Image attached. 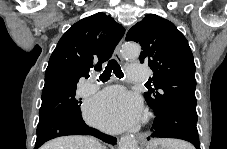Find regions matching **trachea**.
Masks as SVG:
<instances>
[{
  "label": "trachea",
  "instance_id": "trachea-1",
  "mask_svg": "<svg viewBox=\"0 0 227 149\" xmlns=\"http://www.w3.org/2000/svg\"><path fill=\"white\" fill-rule=\"evenodd\" d=\"M114 73L116 77L123 78L124 74L121 70L120 65L117 63L116 60L112 59L109 61V63L107 64V66L105 67V70L103 71V73L100 75V80L105 82L107 80L110 79L111 77V73ZM89 76H87L88 78Z\"/></svg>",
  "mask_w": 227,
  "mask_h": 149
}]
</instances>
